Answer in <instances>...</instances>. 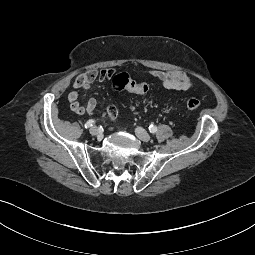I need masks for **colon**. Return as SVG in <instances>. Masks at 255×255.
<instances>
[{
    "instance_id": "1",
    "label": "colon",
    "mask_w": 255,
    "mask_h": 255,
    "mask_svg": "<svg viewBox=\"0 0 255 255\" xmlns=\"http://www.w3.org/2000/svg\"><path fill=\"white\" fill-rule=\"evenodd\" d=\"M112 88L115 91L128 89L137 94H145L149 90V85L147 83H137L127 74L120 73L113 78ZM185 105L189 110L195 111L201 107V102L195 97H190L185 101Z\"/></svg>"
}]
</instances>
